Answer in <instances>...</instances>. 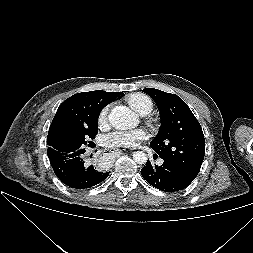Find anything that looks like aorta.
<instances>
[{"label":"aorta","mask_w":253,"mask_h":253,"mask_svg":"<svg viewBox=\"0 0 253 253\" xmlns=\"http://www.w3.org/2000/svg\"><path fill=\"white\" fill-rule=\"evenodd\" d=\"M108 118L110 124L119 130L132 129L139 122L136 114L125 106L114 107ZM133 159L137 164H145L147 162V155L142 151H136L133 153Z\"/></svg>","instance_id":"1"}]
</instances>
